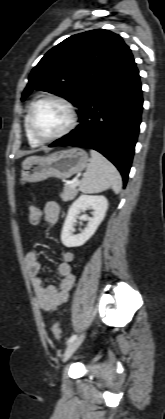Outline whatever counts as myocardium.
Instances as JSON below:
<instances>
[{"label":"myocardium","instance_id":"myocardium-1","mask_svg":"<svg viewBox=\"0 0 165 419\" xmlns=\"http://www.w3.org/2000/svg\"><path fill=\"white\" fill-rule=\"evenodd\" d=\"M45 101H54V102L60 103L66 109L69 116L67 125L59 133L50 137L40 136L36 132L33 125L34 111L40 103L45 102ZM77 119H78V116H77L76 109L70 101L58 95H46L36 100L35 102H33V104L30 106L28 114H27V126H28V130L30 134L38 143H49V142L59 140L65 137L66 135H68L74 129L77 123Z\"/></svg>","mask_w":165,"mask_h":419}]
</instances>
